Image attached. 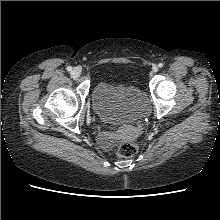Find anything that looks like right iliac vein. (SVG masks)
Returning <instances> with one entry per match:
<instances>
[{"label":"right iliac vein","mask_w":220,"mask_h":220,"mask_svg":"<svg viewBox=\"0 0 220 220\" xmlns=\"http://www.w3.org/2000/svg\"><path fill=\"white\" fill-rule=\"evenodd\" d=\"M81 74V69L79 67H75L72 71H71V75L73 78H77L79 77Z\"/></svg>","instance_id":"1"}]
</instances>
